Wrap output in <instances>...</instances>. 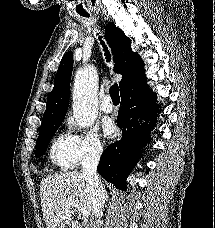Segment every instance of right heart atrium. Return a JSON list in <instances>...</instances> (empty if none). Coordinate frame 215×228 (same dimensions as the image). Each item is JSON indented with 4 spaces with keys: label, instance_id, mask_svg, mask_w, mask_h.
I'll list each match as a JSON object with an SVG mask.
<instances>
[{
    "label": "right heart atrium",
    "instance_id": "d8ad5b80",
    "mask_svg": "<svg viewBox=\"0 0 215 228\" xmlns=\"http://www.w3.org/2000/svg\"><path fill=\"white\" fill-rule=\"evenodd\" d=\"M69 126L75 127L72 121H69ZM74 140L77 164L97 161L104 154L103 139L95 128L77 129Z\"/></svg>",
    "mask_w": 215,
    "mask_h": 228
}]
</instances>
